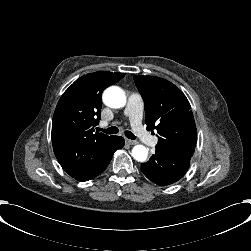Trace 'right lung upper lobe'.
<instances>
[{
	"instance_id": "1",
	"label": "right lung upper lobe",
	"mask_w": 251,
	"mask_h": 251,
	"mask_svg": "<svg viewBox=\"0 0 251 251\" xmlns=\"http://www.w3.org/2000/svg\"><path fill=\"white\" fill-rule=\"evenodd\" d=\"M124 73L100 71L76 80L61 96L52 121V145L62 168L73 178L100 163L116 136L95 133L101 115V94Z\"/></svg>"
}]
</instances>
